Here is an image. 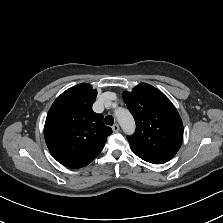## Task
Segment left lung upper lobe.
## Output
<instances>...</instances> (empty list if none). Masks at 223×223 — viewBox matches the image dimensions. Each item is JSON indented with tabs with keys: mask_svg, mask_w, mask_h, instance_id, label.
Listing matches in <instances>:
<instances>
[{
	"mask_svg": "<svg viewBox=\"0 0 223 223\" xmlns=\"http://www.w3.org/2000/svg\"><path fill=\"white\" fill-rule=\"evenodd\" d=\"M122 96L136 121L135 133L127 137L134 154L153 164L172 159L183 141V124L171 101L145 83Z\"/></svg>",
	"mask_w": 223,
	"mask_h": 223,
	"instance_id": "obj_1",
	"label": "left lung upper lobe"
}]
</instances>
